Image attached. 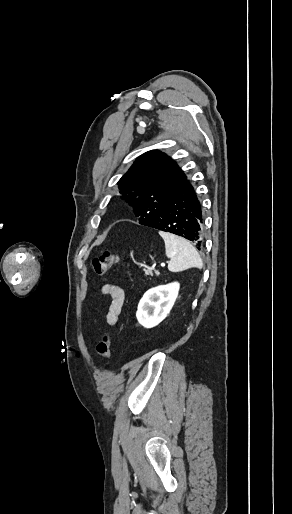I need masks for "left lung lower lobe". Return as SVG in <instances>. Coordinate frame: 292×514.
<instances>
[{"mask_svg":"<svg viewBox=\"0 0 292 514\" xmlns=\"http://www.w3.org/2000/svg\"><path fill=\"white\" fill-rule=\"evenodd\" d=\"M203 215L201 204L189 180L171 196L161 213L146 226L170 232L203 246Z\"/></svg>","mask_w":292,"mask_h":514,"instance_id":"0a47b994","label":"left lung lower lobe"}]
</instances>
